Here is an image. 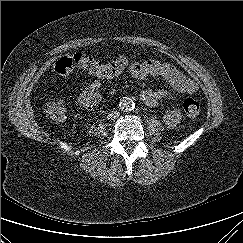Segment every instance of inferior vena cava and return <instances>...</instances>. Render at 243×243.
<instances>
[{
    "instance_id": "inferior-vena-cava-1",
    "label": "inferior vena cava",
    "mask_w": 243,
    "mask_h": 243,
    "mask_svg": "<svg viewBox=\"0 0 243 243\" xmlns=\"http://www.w3.org/2000/svg\"><path fill=\"white\" fill-rule=\"evenodd\" d=\"M119 114L120 113L118 111H111V112L108 113L107 118L109 120H114V119H117L119 117Z\"/></svg>"
}]
</instances>
